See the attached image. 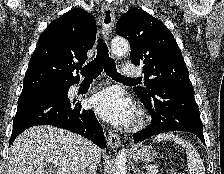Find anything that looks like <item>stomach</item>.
<instances>
[{"mask_svg":"<svg viewBox=\"0 0 224 174\" xmlns=\"http://www.w3.org/2000/svg\"><path fill=\"white\" fill-rule=\"evenodd\" d=\"M156 151L150 146H143L136 149L133 153V158L139 162L149 163L154 161L156 158Z\"/></svg>","mask_w":224,"mask_h":174,"instance_id":"1","label":"stomach"}]
</instances>
